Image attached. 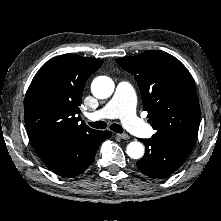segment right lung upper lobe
Listing matches in <instances>:
<instances>
[{"label": "right lung upper lobe", "instance_id": "1", "mask_svg": "<svg viewBox=\"0 0 221 221\" xmlns=\"http://www.w3.org/2000/svg\"><path fill=\"white\" fill-rule=\"evenodd\" d=\"M102 61L74 54L55 57L33 78L24 100L30 139L52 135H81L93 131L79 122V106L87 78Z\"/></svg>", "mask_w": 221, "mask_h": 221}]
</instances>
